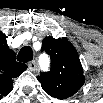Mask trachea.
Returning <instances> with one entry per match:
<instances>
[{
  "label": "trachea",
  "mask_w": 103,
  "mask_h": 103,
  "mask_svg": "<svg viewBox=\"0 0 103 103\" xmlns=\"http://www.w3.org/2000/svg\"><path fill=\"white\" fill-rule=\"evenodd\" d=\"M33 59V51L31 47L25 46L23 47L17 56V60L20 62L27 63L28 61H31Z\"/></svg>",
  "instance_id": "obj_1"
}]
</instances>
